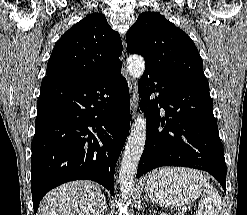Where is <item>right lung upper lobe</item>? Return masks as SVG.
Instances as JSON below:
<instances>
[{
	"mask_svg": "<svg viewBox=\"0 0 247 215\" xmlns=\"http://www.w3.org/2000/svg\"><path fill=\"white\" fill-rule=\"evenodd\" d=\"M122 42L105 16L93 13L72 26L55 44L46 77L70 83L89 82L122 62Z\"/></svg>",
	"mask_w": 247,
	"mask_h": 215,
	"instance_id": "1",
	"label": "right lung upper lobe"
}]
</instances>
